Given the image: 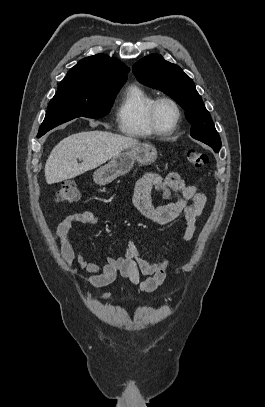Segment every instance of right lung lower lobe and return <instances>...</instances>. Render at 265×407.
Wrapping results in <instances>:
<instances>
[{"instance_id": "right-lung-lower-lobe-1", "label": "right lung lower lobe", "mask_w": 265, "mask_h": 407, "mask_svg": "<svg viewBox=\"0 0 265 407\" xmlns=\"http://www.w3.org/2000/svg\"><path fill=\"white\" fill-rule=\"evenodd\" d=\"M42 135H37V137H41Z\"/></svg>"}]
</instances>
